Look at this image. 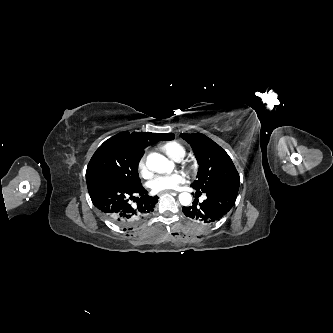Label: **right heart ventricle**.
<instances>
[{
  "label": "right heart ventricle",
  "mask_w": 333,
  "mask_h": 333,
  "mask_svg": "<svg viewBox=\"0 0 333 333\" xmlns=\"http://www.w3.org/2000/svg\"><path fill=\"white\" fill-rule=\"evenodd\" d=\"M161 148L168 157L175 161L181 160L186 154L185 148L176 141L167 142Z\"/></svg>",
  "instance_id": "obj_1"
}]
</instances>
